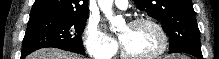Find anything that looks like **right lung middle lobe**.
<instances>
[{"label": "right lung middle lobe", "instance_id": "1", "mask_svg": "<svg viewBox=\"0 0 219 59\" xmlns=\"http://www.w3.org/2000/svg\"><path fill=\"white\" fill-rule=\"evenodd\" d=\"M87 15H56L30 13L21 51L22 59L31 52L45 47H54L83 54L81 34Z\"/></svg>", "mask_w": 219, "mask_h": 59}]
</instances>
